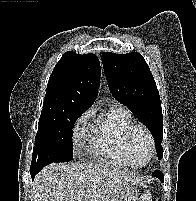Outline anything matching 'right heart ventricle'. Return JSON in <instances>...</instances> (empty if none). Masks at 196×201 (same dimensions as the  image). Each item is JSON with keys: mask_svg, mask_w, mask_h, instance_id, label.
Returning a JSON list of instances; mask_svg holds the SVG:
<instances>
[{"mask_svg": "<svg viewBox=\"0 0 196 201\" xmlns=\"http://www.w3.org/2000/svg\"><path fill=\"white\" fill-rule=\"evenodd\" d=\"M135 124L130 112L123 107L111 108L91 127L89 151L102 162L129 167L124 149L126 130Z\"/></svg>", "mask_w": 196, "mask_h": 201, "instance_id": "e07e8e85", "label": "right heart ventricle"}]
</instances>
